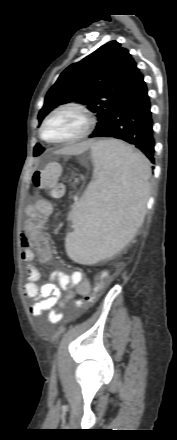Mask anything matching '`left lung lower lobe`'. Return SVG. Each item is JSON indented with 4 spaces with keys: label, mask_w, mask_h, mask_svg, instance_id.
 <instances>
[{
    "label": "left lung lower lobe",
    "mask_w": 177,
    "mask_h": 440,
    "mask_svg": "<svg viewBox=\"0 0 177 440\" xmlns=\"http://www.w3.org/2000/svg\"><path fill=\"white\" fill-rule=\"evenodd\" d=\"M143 76L106 123L89 137H112L140 149L154 164L153 120Z\"/></svg>",
    "instance_id": "0a47b994"
}]
</instances>
